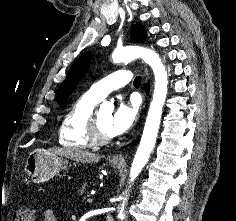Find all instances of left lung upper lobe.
Here are the masks:
<instances>
[{
  "mask_svg": "<svg viewBox=\"0 0 236 221\" xmlns=\"http://www.w3.org/2000/svg\"><path fill=\"white\" fill-rule=\"evenodd\" d=\"M131 38L135 43H141L145 41L147 34L144 26L140 23L133 25L131 28ZM91 59L92 55L90 53L84 54L79 57L71 66L67 77L60 85L58 91L57 102L60 106L65 104L69 94L85 75L90 65Z\"/></svg>",
  "mask_w": 236,
  "mask_h": 221,
  "instance_id": "left-lung-upper-lobe-1",
  "label": "left lung upper lobe"
}]
</instances>
